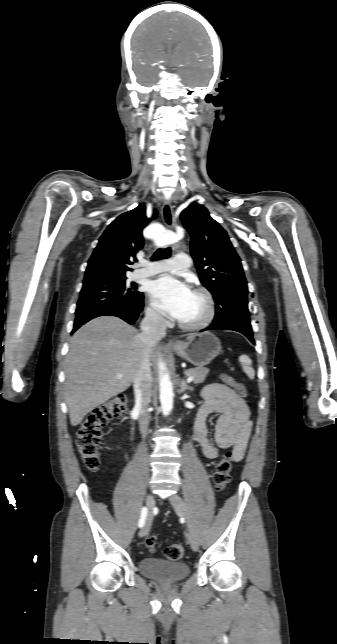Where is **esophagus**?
I'll list each match as a JSON object with an SVG mask.
<instances>
[{
  "instance_id": "34e87169",
  "label": "esophagus",
  "mask_w": 337,
  "mask_h": 644,
  "mask_svg": "<svg viewBox=\"0 0 337 644\" xmlns=\"http://www.w3.org/2000/svg\"><path fill=\"white\" fill-rule=\"evenodd\" d=\"M161 213H162V218H163V221H164V224L166 225V227L169 228V229H173L174 226H175V223H174V218H173V206H172V203H171L170 200H165L164 201L162 209H161ZM172 247H173V249H176L177 245L174 244ZM177 344H178V341L173 340V339L169 340V345L175 346Z\"/></svg>"
}]
</instances>
